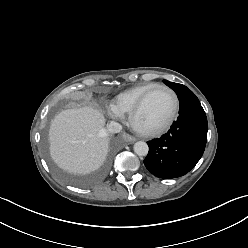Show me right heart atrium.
I'll return each instance as SVG.
<instances>
[{
	"mask_svg": "<svg viewBox=\"0 0 248 248\" xmlns=\"http://www.w3.org/2000/svg\"><path fill=\"white\" fill-rule=\"evenodd\" d=\"M112 113L114 114V116H119L118 114H116L113 110H112Z\"/></svg>",
	"mask_w": 248,
	"mask_h": 248,
	"instance_id": "d8ad5b80",
	"label": "right heart atrium"
}]
</instances>
